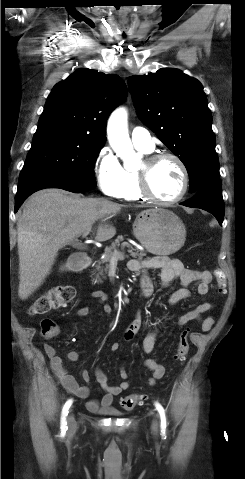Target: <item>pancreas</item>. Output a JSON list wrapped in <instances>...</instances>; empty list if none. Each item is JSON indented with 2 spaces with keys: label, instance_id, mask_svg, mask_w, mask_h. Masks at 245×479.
Returning <instances> with one entry per match:
<instances>
[{
  "label": "pancreas",
  "instance_id": "pancreas-1",
  "mask_svg": "<svg viewBox=\"0 0 245 479\" xmlns=\"http://www.w3.org/2000/svg\"><path fill=\"white\" fill-rule=\"evenodd\" d=\"M126 242H124V238L122 235H119L114 242H112V244L110 246H107L105 248V252H104V258L98 263V265L96 266L97 267V271L98 273L96 274V280L99 279V276H103L104 273H106L108 271V268H109V262L111 261L112 257H113V253L115 250H117V248L119 246H123ZM132 257L134 258H139L140 260L146 256V253L145 252H140V251H136V252H132L131 253ZM101 264H105V266H101Z\"/></svg>",
  "mask_w": 245,
  "mask_h": 479
}]
</instances>
